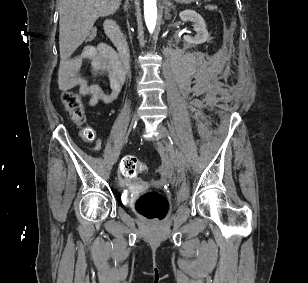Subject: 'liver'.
<instances>
[{
  "label": "liver",
  "mask_w": 308,
  "mask_h": 283,
  "mask_svg": "<svg viewBox=\"0 0 308 283\" xmlns=\"http://www.w3.org/2000/svg\"><path fill=\"white\" fill-rule=\"evenodd\" d=\"M121 0H59V47L66 61L88 37L95 21L117 11Z\"/></svg>",
  "instance_id": "liver-1"
}]
</instances>
